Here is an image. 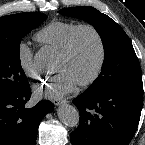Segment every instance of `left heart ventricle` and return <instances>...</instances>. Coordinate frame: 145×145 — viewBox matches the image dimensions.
Returning a JSON list of instances; mask_svg holds the SVG:
<instances>
[{
    "instance_id": "b2bd125f",
    "label": "left heart ventricle",
    "mask_w": 145,
    "mask_h": 145,
    "mask_svg": "<svg viewBox=\"0 0 145 145\" xmlns=\"http://www.w3.org/2000/svg\"><path fill=\"white\" fill-rule=\"evenodd\" d=\"M98 58L97 41L90 31L84 30L78 35L73 55L70 58L59 56L57 71L70 72L79 83L93 73Z\"/></svg>"
}]
</instances>
